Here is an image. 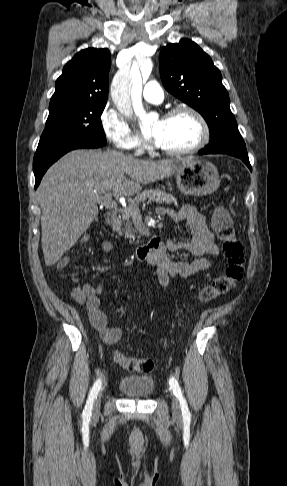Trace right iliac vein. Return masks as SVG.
Masks as SVG:
<instances>
[{"mask_svg":"<svg viewBox=\"0 0 287 486\" xmlns=\"http://www.w3.org/2000/svg\"><path fill=\"white\" fill-rule=\"evenodd\" d=\"M100 404H101V392H99L97 395H96V399L94 401V405H93V413L94 414H97L100 410Z\"/></svg>","mask_w":287,"mask_h":486,"instance_id":"1","label":"right iliac vein"}]
</instances>
